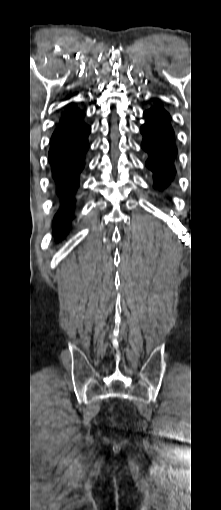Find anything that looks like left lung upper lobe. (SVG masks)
I'll return each mask as SVG.
<instances>
[{
	"instance_id": "5c2ea615",
	"label": "left lung upper lobe",
	"mask_w": 221,
	"mask_h": 510,
	"mask_svg": "<svg viewBox=\"0 0 221 510\" xmlns=\"http://www.w3.org/2000/svg\"><path fill=\"white\" fill-rule=\"evenodd\" d=\"M146 112H148L153 118H155L162 125L166 126L169 129H172L170 123L168 122L170 119V115L160 105H156Z\"/></svg>"
}]
</instances>
